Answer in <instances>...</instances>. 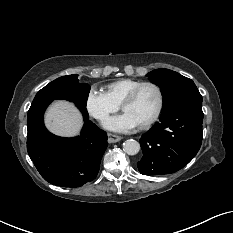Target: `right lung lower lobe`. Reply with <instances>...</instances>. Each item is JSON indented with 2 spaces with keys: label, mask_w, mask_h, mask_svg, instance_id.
<instances>
[{
  "label": "right lung lower lobe",
  "mask_w": 233,
  "mask_h": 233,
  "mask_svg": "<svg viewBox=\"0 0 233 233\" xmlns=\"http://www.w3.org/2000/svg\"><path fill=\"white\" fill-rule=\"evenodd\" d=\"M52 100L32 104L27 115V151L41 176L62 187H80L95 179L108 146L107 134L88 120L86 107L77 105L84 117L80 136L62 138L44 126L43 114Z\"/></svg>",
  "instance_id": "98d812e1"
}]
</instances>
